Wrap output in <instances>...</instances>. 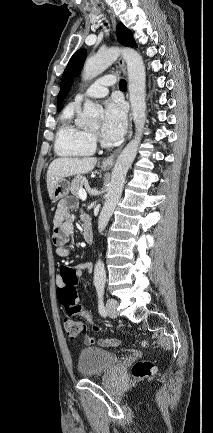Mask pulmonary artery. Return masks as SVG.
<instances>
[{
	"instance_id": "obj_1",
	"label": "pulmonary artery",
	"mask_w": 213,
	"mask_h": 433,
	"mask_svg": "<svg viewBox=\"0 0 213 433\" xmlns=\"http://www.w3.org/2000/svg\"><path fill=\"white\" fill-rule=\"evenodd\" d=\"M115 79L112 75H106L96 80L86 91L76 95L75 104H80L86 98H101L107 95L108 87L114 85Z\"/></svg>"
}]
</instances>
